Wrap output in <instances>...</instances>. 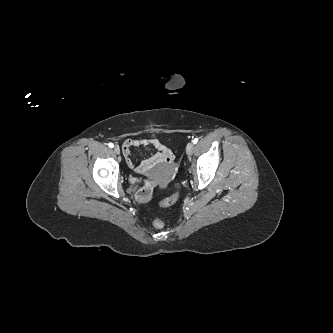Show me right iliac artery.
<instances>
[{
    "label": "right iliac artery",
    "mask_w": 333,
    "mask_h": 333,
    "mask_svg": "<svg viewBox=\"0 0 333 333\" xmlns=\"http://www.w3.org/2000/svg\"><path fill=\"white\" fill-rule=\"evenodd\" d=\"M109 147L113 148L114 147L113 143H109Z\"/></svg>",
    "instance_id": "1"
}]
</instances>
